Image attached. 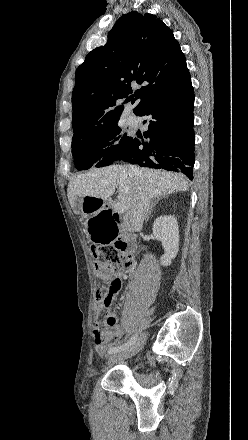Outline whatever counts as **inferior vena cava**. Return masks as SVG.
<instances>
[{
	"label": "inferior vena cava",
	"mask_w": 248,
	"mask_h": 440,
	"mask_svg": "<svg viewBox=\"0 0 248 440\" xmlns=\"http://www.w3.org/2000/svg\"><path fill=\"white\" fill-rule=\"evenodd\" d=\"M128 172L131 176L139 180V187L132 206L124 216V227L130 231L140 230L150 208V195L145 189L141 179V172L137 167L129 166Z\"/></svg>",
	"instance_id": "602c4592"
}]
</instances>
